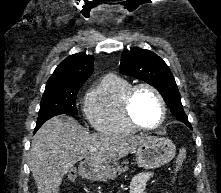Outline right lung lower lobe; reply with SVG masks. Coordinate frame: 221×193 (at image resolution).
<instances>
[{"label": "right lung lower lobe", "instance_id": "obj_1", "mask_svg": "<svg viewBox=\"0 0 221 193\" xmlns=\"http://www.w3.org/2000/svg\"><path fill=\"white\" fill-rule=\"evenodd\" d=\"M41 127V125H36L34 133Z\"/></svg>", "mask_w": 221, "mask_h": 193}]
</instances>
